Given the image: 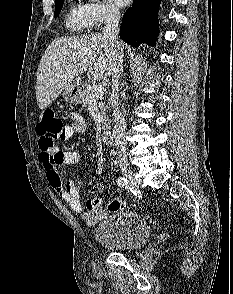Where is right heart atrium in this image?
<instances>
[{"instance_id": "1", "label": "right heart atrium", "mask_w": 233, "mask_h": 294, "mask_svg": "<svg viewBox=\"0 0 233 294\" xmlns=\"http://www.w3.org/2000/svg\"><path fill=\"white\" fill-rule=\"evenodd\" d=\"M84 11L89 19V28L99 29L118 19L119 9L111 2H86Z\"/></svg>"}]
</instances>
